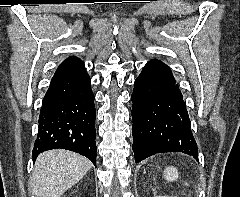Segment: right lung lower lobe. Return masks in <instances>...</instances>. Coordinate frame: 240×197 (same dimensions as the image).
<instances>
[{"label":"right lung lower lobe","instance_id":"right-lung-lower-lobe-1","mask_svg":"<svg viewBox=\"0 0 240 197\" xmlns=\"http://www.w3.org/2000/svg\"><path fill=\"white\" fill-rule=\"evenodd\" d=\"M95 106L85 66L57 69L44 96L33 160L44 151L67 149L96 166Z\"/></svg>","mask_w":240,"mask_h":197}]
</instances>
